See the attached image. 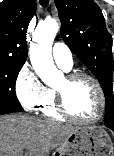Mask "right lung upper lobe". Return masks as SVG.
I'll use <instances>...</instances> for the list:
<instances>
[{"instance_id":"cb5924a9","label":"right lung upper lobe","mask_w":114,"mask_h":156,"mask_svg":"<svg viewBox=\"0 0 114 156\" xmlns=\"http://www.w3.org/2000/svg\"><path fill=\"white\" fill-rule=\"evenodd\" d=\"M36 11V0H3L0 3V60L25 63L26 32Z\"/></svg>"}]
</instances>
